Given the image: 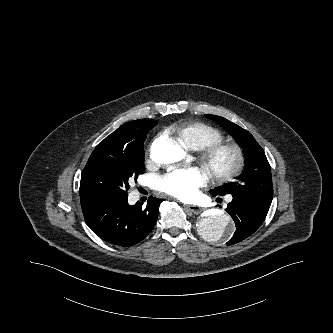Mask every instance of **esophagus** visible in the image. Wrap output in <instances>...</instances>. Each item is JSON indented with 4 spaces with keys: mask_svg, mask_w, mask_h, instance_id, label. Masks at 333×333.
<instances>
[{
    "mask_svg": "<svg viewBox=\"0 0 333 333\" xmlns=\"http://www.w3.org/2000/svg\"><path fill=\"white\" fill-rule=\"evenodd\" d=\"M184 207L191 213L193 214H200L203 209L200 207V206H197V205H187V204H184Z\"/></svg>",
    "mask_w": 333,
    "mask_h": 333,
    "instance_id": "obj_1",
    "label": "esophagus"
}]
</instances>
